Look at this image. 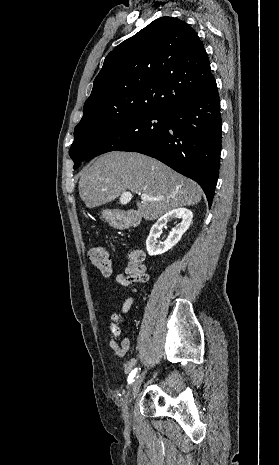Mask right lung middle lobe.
I'll list each match as a JSON object with an SVG mask.
<instances>
[{"instance_id": "dd1d6c3e", "label": "right lung middle lobe", "mask_w": 279, "mask_h": 465, "mask_svg": "<svg viewBox=\"0 0 279 465\" xmlns=\"http://www.w3.org/2000/svg\"><path fill=\"white\" fill-rule=\"evenodd\" d=\"M167 118V111L150 110L92 127L75 128L70 148L74 169L81 161L100 154L148 144L165 130Z\"/></svg>"}]
</instances>
